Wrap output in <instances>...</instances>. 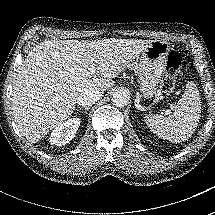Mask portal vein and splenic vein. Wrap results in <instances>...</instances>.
Returning a JSON list of instances; mask_svg holds the SVG:
<instances>
[{
  "label": "portal vein and splenic vein",
  "instance_id": "portal-vein-and-splenic-vein-1",
  "mask_svg": "<svg viewBox=\"0 0 215 215\" xmlns=\"http://www.w3.org/2000/svg\"><path fill=\"white\" fill-rule=\"evenodd\" d=\"M89 70H90L91 73H93V74L95 73V70H94V69H91V68H90Z\"/></svg>",
  "mask_w": 215,
  "mask_h": 215
}]
</instances>
